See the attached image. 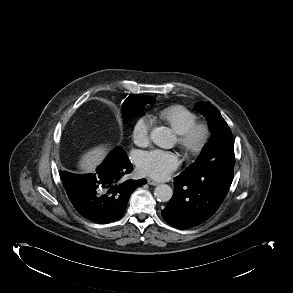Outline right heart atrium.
Wrapping results in <instances>:
<instances>
[{"mask_svg":"<svg viewBox=\"0 0 293 293\" xmlns=\"http://www.w3.org/2000/svg\"><path fill=\"white\" fill-rule=\"evenodd\" d=\"M152 122L149 115H143L135 121L132 128V138L137 145L144 146L148 143Z\"/></svg>","mask_w":293,"mask_h":293,"instance_id":"d8ad5b80","label":"right heart atrium"}]
</instances>
